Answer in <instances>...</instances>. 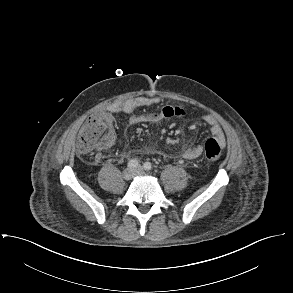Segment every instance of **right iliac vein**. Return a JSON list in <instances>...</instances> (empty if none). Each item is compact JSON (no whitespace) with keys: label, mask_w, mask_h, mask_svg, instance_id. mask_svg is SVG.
<instances>
[{"label":"right iliac vein","mask_w":293,"mask_h":293,"mask_svg":"<svg viewBox=\"0 0 293 293\" xmlns=\"http://www.w3.org/2000/svg\"><path fill=\"white\" fill-rule=\"evenodd\" d=\"M134 175H135V171L130 169V168L125 169L124 172H123V178L125 180L132 179L134 177Z\"/></svg>","instance_id":"63e3f726"}]
</instances>
